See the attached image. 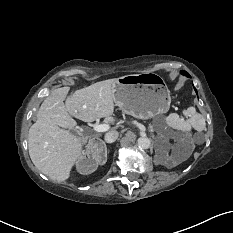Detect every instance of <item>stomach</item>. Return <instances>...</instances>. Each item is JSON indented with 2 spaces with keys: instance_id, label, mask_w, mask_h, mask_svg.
Instances as JSON below:
<instances>
[{
  "instance_id": "1",
  "label": "stomach",
  "mask_w": 233,
  "mask_h": 233,
  "mask_svg": "<svg viewBox=\"0 0 233 233\" xmlns=\"http://www.w3.org/2000/svg\"><path fill=\"white\" fill-rule=\"evenodd\" d=\"M114 102L135 118L149 119L168 111L170 91L155 73L125 75L116 79Z\"/></svg>"
}]
</instances>
